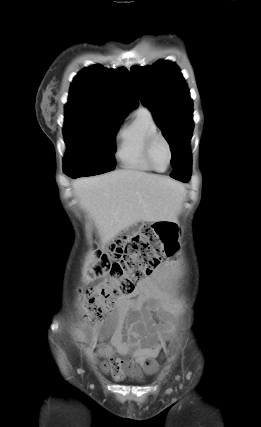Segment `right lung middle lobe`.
<instances>
[{"mask_svg":"<svg viewBox=\"0 0 261 427\" xmlns=\"http://www.w3.org/2000/svg\"><path fill=\"white\" fill-rule=\"evenodd\" d=\"M123 118L89 112L65 113L64 173L92 176L115 168V135Z\"/></svg>","mask_w":261,"mask_h":427,"instance_id":"obj_1","label":"right lung middle lobe"}]
</instances>
